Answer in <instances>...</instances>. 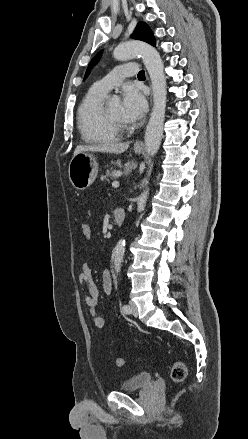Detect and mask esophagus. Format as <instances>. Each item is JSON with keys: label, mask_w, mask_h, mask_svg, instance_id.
<instances>
[{"label": "esophagus", "mask_w": 248, "mask_h": 439, "mask_svg": "<svg viewBox=\"0 0 248 439\" xmlns=\"http://www.w3.org/2000/svg\"><path fill=\"white\" fill-rule=\"evenodd\" d=\"M134 147H135V148H138V149H141V148L143 147V143H142L141 141H137V142L134 144Z\"/></svg>", "instance_id": "34e87169"}]
</instances>
